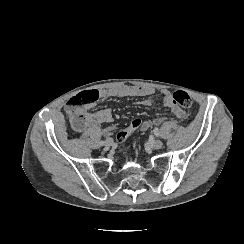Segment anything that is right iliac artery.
<instances>
[{
    "instance_id": "right-iliac-artery-1",
    "label": "right iliac artery",
    "mask_w": 244,
    "mask_h": 244,
    "mask_svg": "<svg viewBox=\"0 0 244 244\" xmlns=\"http://www.w3.org/2000/svg\"><path fill=\"white\" fill-rule=\"evenodd\" d=\"M104 143H105L104 141H101V142H100V145L102 146V145H104Z\"/></svg>"
}]
</instances>
